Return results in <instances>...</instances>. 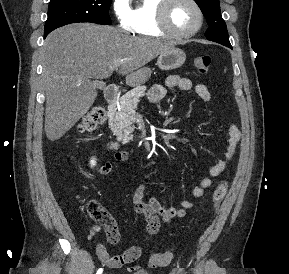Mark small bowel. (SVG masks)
Listing matches in <instances>:
<instances>
[{
  "label": "small bowel",
  "mask_w": 289,
  "mask_h": 274,
  "mask_svg": "<svg viewBox=\"0 0 289 274\" xmlns=\"http://www.w3.org/2000/svg\"><path fill=\"white\" fill-rule=\"evenodd\" d=\"M178 88L184 91L193 90L195 94L203 101L209 102L211 100V93L204 84L193 85L192 81L187 78H182L177 75H171L167 77L164 85H154L149 92V98L152 101L162 100L167 92V89ZM229 138L226 145V151L224 159L215 163L209 168V175L211 177H217L224 172L228 162L235 154L236 147L240 140V130L235 124H231L229 127ZM128 159V154L124 151H117L111 161L104 163L97 168L98 173L108 174L113 168ZM157 173V170L149 172L143 182L137 187L133 195V206L136 213L144 217L146 221L147 239L155 235L162 222H169L174 218H183L189 209L196 206V202L190 199H182L178 207L169 206L161 202L158 197H151L149 200L145 199V194L148 186V182L152 176ZM212 180L210 178L202 179L197 186L191 190V196L193 198H201L206 191L212 187ZM109 243L116 244L119 241V233L117 232L114 237L107 236ZM96 253L99 260L108 268H121L126 264H130L136 261L142 253V249L139 246H132L121 254L110 255L103 244H98L96 247Z\"/></svg>",
  "instance_id": "c3829d8e"
}]
</instances>
